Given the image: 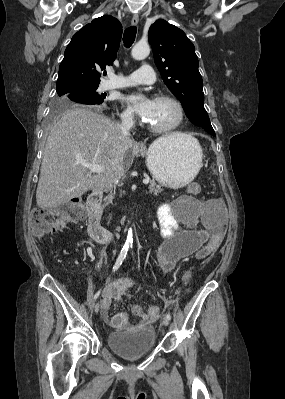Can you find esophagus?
<instances>
[{"label": "esophagus", "mask_w": 285, "mask_h": 399, "mask_svg": "<svg viewBox=\"0 0 285 399\" xmlns=\"http://www.w3.org/2000/svg\"><path fill=\"white\" fill-rule=\"evenodd\" d=\"M138 22H139V16H138V14H134L133 17H132V20H131V24L133 26H136L138 24ZM138 147L139 148H144L145 146H144L143 143H139Z\"/></svg>", "instance_id": "obj_1"}]
</instances>
